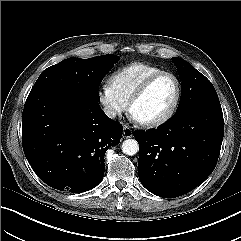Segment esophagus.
<instances>
[{
    "label": "esophagus",
    "mask_w": 241,
    "mask_h": 241,
    "mask_svg": "<svg viewBox=\"0 0 241 241\" xmlns=\"http://www.w3.org/2000/svg\"><path fill=\"white\" fill-rule=\"evenodd\" d=\"M133 136V131L130 127L124 126L123 128V137L124 138H131Z\"/></svg>",
    "instance_id": "esophagus-1"
}]
</instances>
